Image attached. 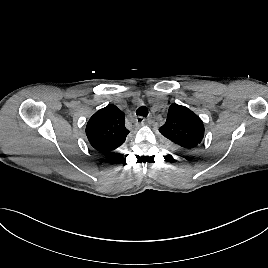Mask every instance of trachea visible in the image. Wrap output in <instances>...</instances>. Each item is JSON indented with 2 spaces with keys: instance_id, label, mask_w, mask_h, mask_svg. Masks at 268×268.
<instances>
[{
  "instance_id": "obj_1",
  "label": "trachea",
  "mask_w": 268,
  "mask_h": 268,
  "mask_svg": "<svg viewBox=\"0 0 268 268\" xmlns=\"http://www.w3.org/2000/svg\"><path fill=\"white\" fill-rule=\"evenodd\" d=\"M136 114L142 117H146L148 115V109L145 106H141L137 109Z\"/></svg>"
}]
</instances>
